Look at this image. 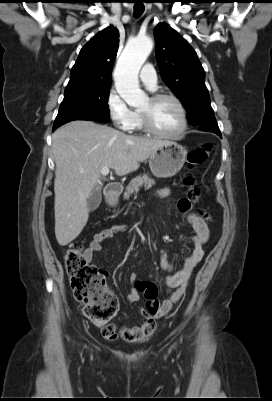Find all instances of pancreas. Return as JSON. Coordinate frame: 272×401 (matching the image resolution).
<instances>
[{"label": "pancreas", "mask_w": 272, "mask_h": 401, "mask_svg": "<svg viewBox=\"0 0 272 401\" xmlns=\"http://www.w3.org/2000/svg\"><path fill=\"white\" fill-rule=\"evenodd\" d=\"M153 185H155V180L151 179L147 174L136 176L126 187L123 197L127 200L134 192H138L142 186L145 189H150Z\"/></svg>", "instance_id": "obj_1"}]
</instances>
